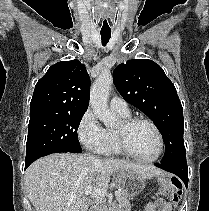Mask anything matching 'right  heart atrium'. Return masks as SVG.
Here are the masks:
<instances>
[{
    "label": "right heart atrium",
    "instance_id": "d8ad5b80",
    "mask_svg": "<svg viewBox=\"0 0 209 211\" xmlns=\"http://www.w3.org/2000/svg\"><path fill=\"white\" fill-rule=\"evenodd\" d=\"M80 143L89 151L97 152L105 140V128L99 123L92 110H86L77 126Z\"/></svg>",
    "mask_w": 209,
    "mask_h": 211
}]
</instances>
